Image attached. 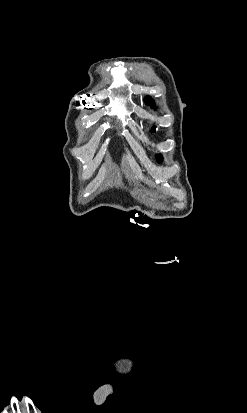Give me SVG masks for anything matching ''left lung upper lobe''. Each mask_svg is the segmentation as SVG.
I'll use <instances>...</instances> for the list:
<instances>
[{
    "label": "left lung upper lobe",
    "mask_w": 247,
    "mask_h": 413,
    "mask_svg": "<svg viewBox=\"0 0 247 413\" xmlns=\"http://www.w3.org/2000/svg\"><path fill=\"white\" fill-rule=\"evenodd\" d=\"M145 102H146L148 105H151V106L154 105L153 100H152L150 97H146V98H145ZM154 131H155V128H153L151 132H154ZM156 160H157L158 162H161V161H162V156H161V155L156 156Z\"/></svg>",
    "instance_id": "left-lung-upper-lobe-1"
}]
</instances>
